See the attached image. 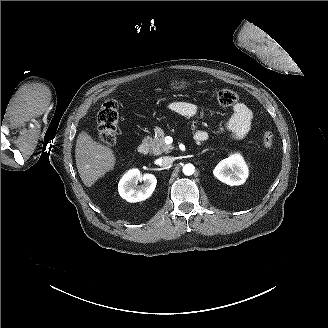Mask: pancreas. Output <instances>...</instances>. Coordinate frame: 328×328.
I'll list each match as a JSON object with an SVG mask.
<instances>
[{
    "label": "pancreas",
    "mask_w": 328,
    "mask_h": 328,
    "mask_svg": "<svg viewBox=\"0 0 328 328\" xmlns=\"http://www.w3.org/2000/svg\"><path fill=\"white\" fill-rule=\"evenodd\" d=\"M156 136L154 138L147 136L143 139L144 143H147L150 147L151 152L154 155H160L162 153H169L170 150L174 149L172 145H167L164 141V131L160 127L155 128Z\"/></svg>",
    "instance_id": "pancreas-1"
}]
</instances>
